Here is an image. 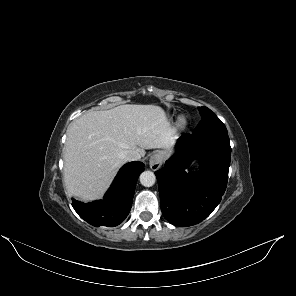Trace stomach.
<instances>
[{
    "mask_svg": "<svg viewBox=\"0 0 296 296\" xmlns=\"http://www.w3.org/2000/svg\"><path fill=\"white\" fill-rule=\"evenodd\" d=\"M160 153L162 154V156H163L164 158H166V157L169 155V151H168L167 149L161 151Z\"/></svg>",
    "mask_w": 296,
    "mask_h": 296,
    "instance_id": "1",
    "label": "stomach"
}]
</instances>
